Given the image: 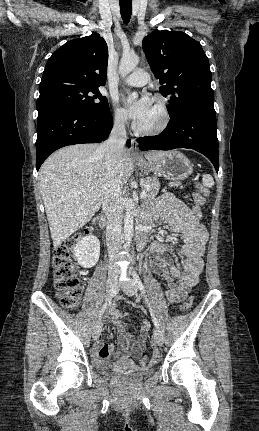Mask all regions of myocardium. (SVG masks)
<instances>
[{
	"label": "myocardium",
	"mask_w": 259,
	"mask_h": 431,
	"mask_svg": "<svg viewBox=\"0 0 259 431\" xmlns=\"http://www.w3.org/2000/svg\"><path fill=\"white\" fill-rule=\"evenodd\" d=\"M152 100L159 109L161 119H160L159 124L157 126H155L154 128H151V129H143V128L139 127L138 125H136L134 127L135 132L139 135H142V136L159 135L167 129V127L170 123V112H169V108H168V105H167L165 98L162 97L161 95H154Z\"/></svg>",
	"instance_id": "obj_1"
}]
</instances>
